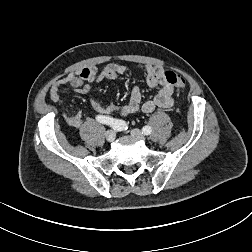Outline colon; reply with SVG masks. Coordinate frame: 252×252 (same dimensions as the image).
<instances>
[{"label":"colon","mask_w":252,"mask_h":252,"mask_svg":"<svg viewBox=\"0 0 252 252\" xmlns=\"http://www.w3.org/2000/svg\"><path fill=\"white\" fill-rule=\"evenodd\" d=\"M166 81L171 84L173 87H176L177 89H183L186 86V81L185 79L172 71H167L164 74ZM106 108L109 110L111 114H117L119 116L122 115H130L138 111V106L136 104H130V103H125V104H117L115 102H109L106 105Z\"/></svg>","instance_id":"obj_1"}]
</instances>
